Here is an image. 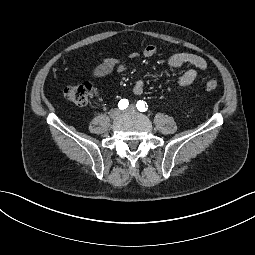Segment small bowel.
<instances>
[{"mask_svg":"<svg viewBox=\"0 0 255 255\" xmlns=\"http://www.w3.org/2000/svg\"><path fill=\"white\" fill-rule=\"evenodd\" d=\"M158 48L153 44H148L143 49V56L151 58L157 54ZM137 54H133L132 57H136ZM168 68H179L182 66H192L184 71V73L178 79V85L180 87H187L191 85L198 77V70H205L208 67V63L205 58L191 53H175L172 54L166 61ZM126 69V64L117 58L105 59L102 63L97 65L93 69V76L100 78L110 74L113 71H123ZM146 81L144 78H139L134 82L133 92L136 95L143 93L145 89Z\"/></svg>","mask_w":255,"mask_h":255,"instance_id":"obj_1","label":"small bowel"}]
</instances>
